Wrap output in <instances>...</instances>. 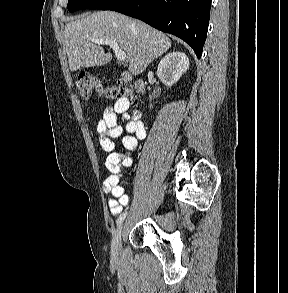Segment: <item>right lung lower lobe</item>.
I'll return each mask as SVG.
<instances>
[{"instance_id":"1","label":"right lung lower lobe","mask_w":288,"mask_h":293,"mask_svg":"<svg viewBox=\"0 0 288 293\" xmlns=\"http://www.w3.org/2000/svg\"><path fill=\"white\" fill-rule=\"evenodd\" d=\"M211 0H123L109 10L140 19L191 46L198 58L206 40Z\"/></svg>"}]
</instances>
